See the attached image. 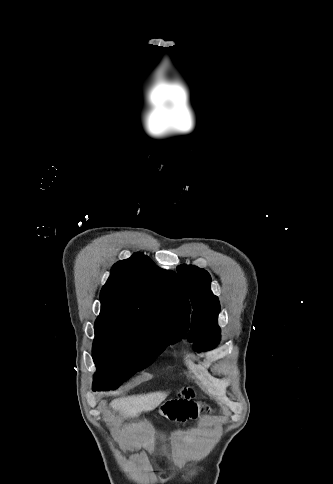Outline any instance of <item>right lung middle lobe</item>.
Returning <instances> with one entry per match:
<instances>
[{
	"label": "right lung middle lobe",
	"instance_id": "1",
	"mask_svg": "<svg viewBox=\"0 0 333 484\" xmlns=\"http://www.w3.org/2000/svg\"><path fill=\"white\" fill-rule=\"evenodd\" d=\"M183 337L182 330L174 325L157 330L132 320L98 317L93 343L97 367L93 390L117 388L150 365L167 345Z\"/></svg>",
	"mask_w": 333,
	"mask_h": 484
}]
</instances>
